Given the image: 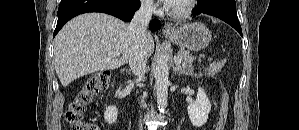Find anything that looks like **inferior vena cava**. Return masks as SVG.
<instances>
[{"instance_id": "obj_1", "label": "inferior vena cava", "mask_w": 299, "mask_h": 130, "mask_svg": "<svg viewBox=\"0 0 299 130\" xmlns=\"http://www.w3.org/2000/svg\"><path fill=\"white\" fill-rule=\"evenodd\" d=\"M154 10L151 1H144L141 3L139 10L133 16L129 25V30L134 41V47L129 55V65L137 80L143 79L146 71L147 55L143 50V43L147 26L151 20L152 12ZM142 128V124H140Z\"/></svg>"}]
</instances>
